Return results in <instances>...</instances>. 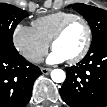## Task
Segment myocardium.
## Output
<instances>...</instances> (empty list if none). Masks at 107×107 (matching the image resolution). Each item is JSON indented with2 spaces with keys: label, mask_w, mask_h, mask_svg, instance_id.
<instances>
[{
  "label": "myocardium",
  "mask_w": 107,
  "mask_h": 107,
  "mask_svg": "<svg viewBox=\"0 0 107 107\" xmlns=\"http://www.w3.org/2000/svg\"><path fill=\"white\" fill-rule=\"evenodd\" d=\"M75 22H81L84 24V26L86 28V32H87V38H86V42H85V45L82 48V50L76 56H74L70 59H67V62L70 64H74V63L81 61L87 55V53L89 52V50L91 48L93 33H92V28H91L89 22L85 18L80 17V16L72 17V18L68 19L67 21H65L57 29V31L54 33V35L50 41V46L52 49H54L55 43L64 35L66 30Z\"/></svg>",
  "instance_id": "obj_1"
}]
</instances>
